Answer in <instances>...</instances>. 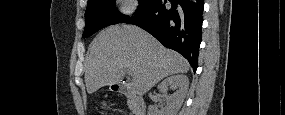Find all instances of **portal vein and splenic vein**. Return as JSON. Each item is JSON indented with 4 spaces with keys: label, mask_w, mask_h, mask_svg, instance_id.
Masks as SVG:
<instances>
[{
    "label": "portal vein and splenic vein",
    "mask_w": 285,
    "mask_h": 115,
    "mask_svg": "<svg viewBox=\"0 0 285 115\" xmlns=\"http://www.w3.org/2000/svg\"><path fill=\"white\" fill-rule=\"evenodd\" d=\"M127 74L130 75L131 71L129 69L126 70Z\"/></svg>",
    "instance_id": "1"
}]
</instances>
